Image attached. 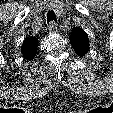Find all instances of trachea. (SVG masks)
Listing matches in <instances>:
<instances>
[{
	"label": "trachea",
	"mask_w": 113,
	"mask_h": 113,
	"mask_svg": "<svg viewBox=\"0 0 113 113\" xmlns=\"http://www.w3.org/2000/svg\"><path fill=\"white\" fill-rule=\"evenodd\" d=\"M47 22L48 24L50 22H56V15L55 12L53 10H49L47 13Z\"/></svg>",
	"instance_id": "trachea-1"
}]
</instances>
